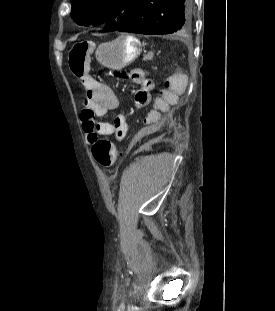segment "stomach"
<instances>
[{
    "mask_svg": "<svg viewBox=\"0 0 275 311\" xmlns=\"http://www.w3.org/2000/svg\"><path fill=\"white\" fill-rule=\"evenodd\" d=\"M142 51L140 41L132 36H121L98 46L95 55L104 67L120 70L138 58Z\"/></svg>",
    "mask_w": 275,
    "mask_h": 311,
    "instance_id": "0dacf381",
    "label": "stomach"
}]
</instances>
